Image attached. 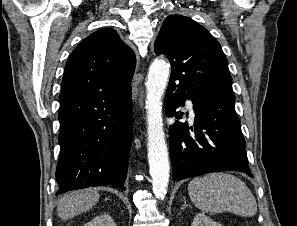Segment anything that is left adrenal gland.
Here are the masks:
<instances>
[{
  "label": "left adrenal gland",
  "instance_id": "obj_1",
  "mask_svg": "<svg viewBox=\"0 0 297 226\" xmlns=\"http://www.w3.org/2000/svg\"><path fill=\"white\" fill-rule=\"evenodd\" d=\"M187 206H190V205H187V203H186V198L183 197V205H182V209H185Z\"/></svg>",
  "mask_w": 297,
  "mask_h": 226
}]
</instances>
